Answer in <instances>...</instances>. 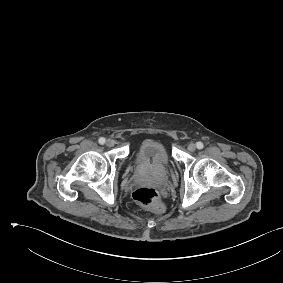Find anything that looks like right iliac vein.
Returning a JSON list of instances; mask_svg holds the SVG:
<instances>
[{"instance_id": "right-iliac-vein-1", "label": "right iliac vein", "mask_w": 283, "mask_h": 283, "mask_svg": "<svg viewBox=\"0 0 283 283\" xmlns=\"http://www.w3.org/2000/svg\"><path fill=\"white\" fill-rule=\"evenodd\" d=\"M106 146H107V147H113V146H114V141L108 140V141L106 142Z\"/></svg>"}]
</instances>
